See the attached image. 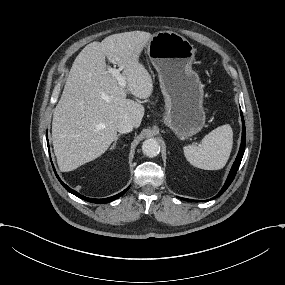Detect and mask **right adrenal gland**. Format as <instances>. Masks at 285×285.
Returning a JSON list of instances; mask_svg holds the SVG:
<instances>
[{"label": "right adrenal gland", "instance_id": "1", "mask_svg": "<svg viewBox=\"0 0 285 285\" xmlns=\"http://www.w3.org/2000/svg\"><path fill=\"white\" fill-rule=\"evenodd\" d=\"M120 136H121V134H118V135L116 136V139H115V141H114V143H113L111 149H113V148L116 146L117 140L119 139Z\"/></svg>", "mask_w": 285, "mask_h": 285}]
</instances>
